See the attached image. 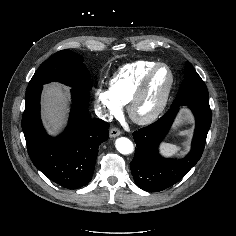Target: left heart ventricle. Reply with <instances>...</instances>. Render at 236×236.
Here are the masks:
<instances>
[{
    "label": "left heart ventricle",
    "mask_w": 236,
    "mask_h": 236,
    "mask_svg": "<svg viewBox=\"0 0 236 236\" xmlns=\"http://www.w3.org/2000/svg\"><path fill=\"white\" fill-rule=\"evenodd\" d=\"M169 81L168 71L159 69L152 77L146 93L137 107V114L144 116L149 114L159 103Z\"/></svg>",
    "instance_id": "left-heart-ventricle-1"
}]
</instances>
